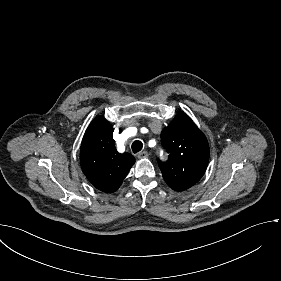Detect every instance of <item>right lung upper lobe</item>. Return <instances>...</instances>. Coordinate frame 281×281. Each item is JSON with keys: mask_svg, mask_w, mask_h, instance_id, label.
<instances>
[{"mask_svg": "<svg viewBox=\"0 0 281 281\" xmlns=\"http://www.w3.org/2000/svg\"><path fill=\"white\" fill-rule=\"evenodd\" d=\"M113 129L103 116L87 128L80 149V164L88 180L100 191L115 192L135 162L129 153L114 147Z\"/></svg>", "mask_w": 281, "mask_h": 281, "instance_id": "cb5924a9", "label": "right lung upper lobe"}]
</instances>
